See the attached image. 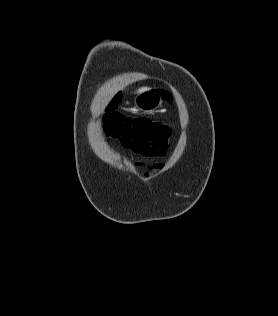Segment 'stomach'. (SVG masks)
Masks as SVG:
<instances>
[{
    "label": "stomach",
    "instance_id": "0dacf381",
    "mask_svg": "<svg viewBox=\"0 0 278 316\" xmlns=\"http://www.w3.org/2000/svg\"><path fill=\"white\" fill-rule=\"evenodd\" d=\"M134 109L138 112L149 113L162 105V95L155 91H143L134 100Z\"/></svg>",
    "mask_w": 278,
    "mask_h": 316
}]
</instances>
